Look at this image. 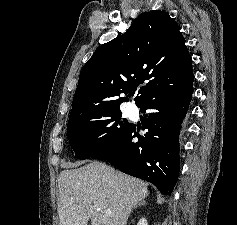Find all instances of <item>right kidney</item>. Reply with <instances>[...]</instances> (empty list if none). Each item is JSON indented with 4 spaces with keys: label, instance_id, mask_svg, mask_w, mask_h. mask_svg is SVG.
<instances>
[{
    "label": "right kidney",
    "instance_id": "obj_1",
    "mask_svg": "<svg viewBox=\"0 0 237 225\" xmlns=\"http://www.w3.org/2000/svg\"><path fill=\"white\" fill-rule=\"evenodd\" d=\"M137 225H148L147 220L145 218H141Z\"/></svg>",
    "mask_w": 237,
    "mask_h": 225
}]
</instances>
